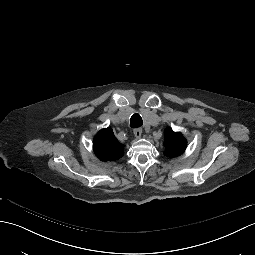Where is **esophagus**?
<instances>
[{"label":"esophagus","mask_w":255,"mask_h":255,"mask_svg":"<svg viewBox=\"0 0 255 255\" xmlns=\"http://www.w3.org/2000/svg\"><path fill=\"white\" fill-rule=\"evenodd\" d=\"M141 134H142V128H135V129H134V135H135V137L140 138V137H141Z\"/></svg>","instance_id":"34e87169"}]
</instances>
